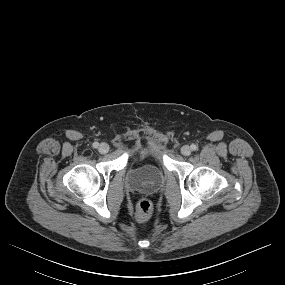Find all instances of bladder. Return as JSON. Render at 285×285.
Returning a JSON list of instances; mask_svg holds the SVG:
<instances>
[{"label":"bladder","mask_w":285,"mask_h":285,"mask_svg":"<svg viewBox=\"0 0 285 285\" xmlns=\"http://www.w3.org/2000/svg\"><path fill=\"white\" fill-rule=\"evenodd\" d=\"M164 181L162 170L152 164L129 167L126 172L127 184L136 190L154 191Z\"/></svg>","instance_id":"obj_1"}]
</instances>
